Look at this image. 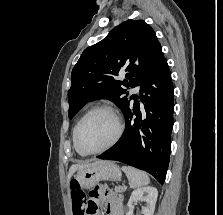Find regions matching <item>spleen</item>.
I'll use <instances>...</instances> for the list:
<instances>
[{
    "label": "spleen",
    "mask_w": 223,
    "mask_h": 215,
    "mask_svg": "<svg viewBox=\"0 0 223 215\" xmlns=\"http://www.w3.org/2000/svg\"><path fill=\"white\" fill-rule=\"evenodd\" d=\"M122 171L126 173L130 187H141V185H147L150 179L147 173L141 171V169H135V167H127V165H122Z\"/></svg>",
    "instance_id": "spleen-1"
}]
</instances>
